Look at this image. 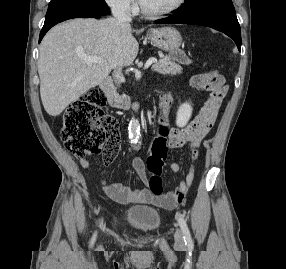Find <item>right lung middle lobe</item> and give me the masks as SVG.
<instances>
[{"instance_id": "right-lung-middle-lobe-1", "label": "right lung middle lobe", "mask_w": 286, "mask_h": 269, "mask_svg": "<svg viewBox=\"0 0 286 269\" xmlns=\"http://www.w3.org/2000/svg\"><path fill=\"white\" fill-rule=\"evenodd\" d=\"M76 13L107 15L110 9L104 0H51L44 23Z\"/></svg>"}]
</instances>
